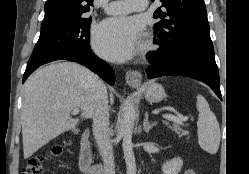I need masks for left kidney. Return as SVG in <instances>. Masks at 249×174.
I'll return each mask as SVG.
<instances>
[{
    "instance_id": "5707ae66",
    "label": "left kidney",
    "mask_w": 249,
    "mask_h": 174,
    "mask_svg": "<svg viewBox=\"0 0 249 174\" xmlns=\"http://www.w3.org/2000/svg\"><path fill=\"white\" fill-rule=\"evenodd\" d=\"M182 164L183 161L181 158H174L163 164L162 172L163 174H178V172L181 170Z\"/></svg>"
}]
</instances>
